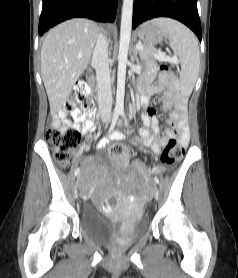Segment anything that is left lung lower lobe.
<instances>
[{
    "instance_id": "obj_1",
    "label": "left lung lower lobe",
    "mask_w": 238,
    "mask_h": 278,
    "mask_svg": "<svg viewBox=\"0 0 238 278\" xmlns=\"http://www.w3.org/2000/svg\"><path fill=\"white\" fill-rule=\"evenodd\" d=\"M170 17L188 26L201 41L197 0H134L132 27L156 17Z\"/></svg>"
}]
</instances>
